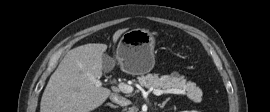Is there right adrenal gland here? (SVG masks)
I'll list each match as a JSON object with an SVG mask.
<instances>
[{
    "mask_svg": "<svg viewBox=\"0 0 270 112\" xmlns=\"http://www.w3.org/2000/svg\"><path fill=\"white\" fill-rule=\"evenodd\" d=\"M106 106H110V107H112V108H118V106L113 105L112 103H107Z\"/></svg>",
    "mask_w": 270,
    "mask_h": 112,
    "instance_id": "2a0ac1e0",
    "label": "right adrenal gland"
}]
</instances>
